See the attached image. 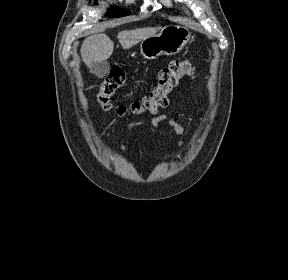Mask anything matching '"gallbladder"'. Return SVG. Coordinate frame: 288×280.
<instances>
[{"mask_svg": "<svg viewBox=\"0 0 288 280\" xmlns=\"http://www.w3.org/2000/svg\"><path fill=\"white\" fill-rule=\"evenodd\" d=\"M90 69L98 78H104L109 73L110 66L106 61H100L92 63Z\"/></svg>", "mask_w": 288, "mask_h": 280, "instance_id": "obj_1", "label": "gallbladder"}]
</instances>
